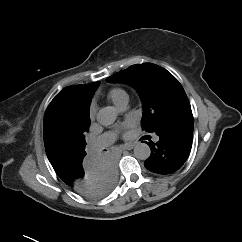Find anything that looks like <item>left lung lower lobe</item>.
Here are the masks:
<instances>
[{
  "instance_id": "0a47b994",
  "label": "left lung lower lobe",
  "mask_w": 242,
  "mask_h": 242,
  "mask_svg": "<svg viewBox=\"0 0 242 242\" xmlns=\"http://www.w3.org/2000/svg\"><path fill=\"white\" fill-rule=\"evenodd\" d=\"M193 115L187 111L166 121L154 132L159 136L151 146V155L144 162L151 172L166 175L177 171L186 161L192 147Z\"/></svg>"
}]
</instances>
